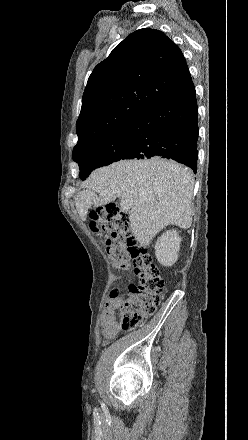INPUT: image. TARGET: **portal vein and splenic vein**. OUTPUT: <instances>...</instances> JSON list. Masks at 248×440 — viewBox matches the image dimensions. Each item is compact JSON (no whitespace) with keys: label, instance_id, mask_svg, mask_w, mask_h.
Wrapping results in <instances>:
<instances>
[{"label":"portal vein and splenic vein","instance_id":"obj_1","mask_svg":"<svg viewBox=\"0 0 248 440\" xmlns=\"http://www.w3.org/2000/svg\"><path fill=\"white\" fill-rule=\"evenodd\" d=\"M132 204H133V200H130V199H124V200H121V202H120V206L123 210L131 209Z\"/></svg>","mask_w":248,"mask_h":440}]
</instances>
